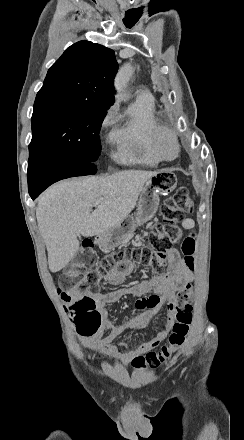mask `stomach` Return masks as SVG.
<instances>
[{
	"label": "stomach",
	"mask_w": 244,
	"mask_h": 440,
	"mask_svg": "<svg viewBox=\"0 0 244 440\" xmlns=\"http://www.w3.org/2000/svg\"><path fill=\"white\" fill-rule=\"evenodd\" d=\"M175 188H177V176L174 172H157L145 182L136 214L128 216L123 222H119L110 230L96 236V244L105 250L119 246L122 240H125L129 234H133L138 226L154 218L160 204L159 196H167Z\"/></svg>",
	"instance_id": "obj_1"
}]
</instances>
